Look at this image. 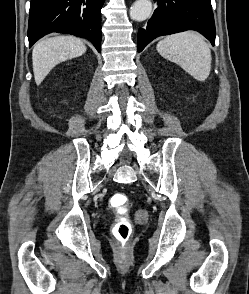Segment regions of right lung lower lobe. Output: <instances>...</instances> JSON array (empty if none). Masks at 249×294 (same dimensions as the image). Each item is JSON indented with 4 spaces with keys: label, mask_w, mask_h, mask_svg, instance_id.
<instances>
[{
    "label": "right lung lower lobe",
    "mask_w": 249,
    "mask_h": 294,
    "mask_svg": "<svg viewBox=\"0 0 249 294\" xmlns=\"http://www.w3.org/2000/svg\"><path fill=\"white\" fill-rule=\"evenodd\" d=\"M105 0H31L28 39L31 47L51 32L90 40L101 52V8Z\"/></svg>",
    "instance_id": "obj_1"
}]
</instances>
